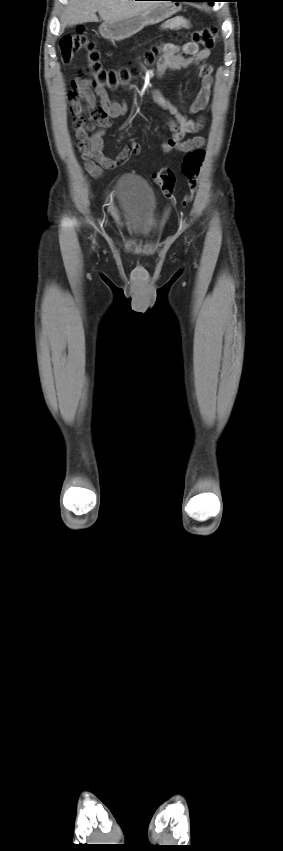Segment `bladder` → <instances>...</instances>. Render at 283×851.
Returning a JSON list of instances; mask_svg holds the SVG:
<instances>
[{"label": "bladder", "instance_id": "obj_1", "mask_svg": "<svg viewBox=\"0 0 283 851\" xmlns=\"http://www.w3.org/2000/svg\"><path fill=\"white\" fill-rule=\"evenodd\" d=\"M114 196L125 230L134 237L148 238L157 208L151 186L137 175L124 174L115 185Z\"/></svg>", "mask_w": 283, "mask_h": 851}]
</instances>
